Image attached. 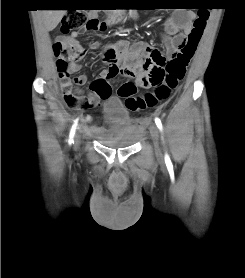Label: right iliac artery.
<instances>
[{
    "label": "right iliac artery",
    "mask_w": 245,
    "mask_h": 278,
    "mask_svg": "<svg viewBox=\"0 0 245 278\" xmlns=\"http://www.w3.org/2000/svg\"><path fill=\"white\" fill-rule=\"evenodd\" d=\"M76 126H77V120L74 122L71 130H70V134H69V144L71 145L72 143H74L73 141V137H74V134H75V131H76Z\"/></svg>",
    "instance_id": "1"
}]
</instances>
